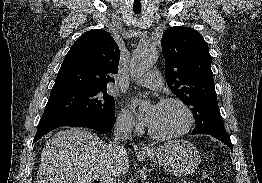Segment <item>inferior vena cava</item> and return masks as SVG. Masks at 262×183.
Returning <instances> with one entry per match:
<instances>
[{"instance_id":"inferior-vena-cava-1","label":"inferior vena cava","mask_w":262,"mask_h":183,"mask_svg":"<svg viewBox=\"0 0 262 183\" xmlns=\"http://www.w3.org/2000/svg\"><path fill=\"white\" fill-rule=\"evenodd\" d=\"M132 121L128 118H122L116 121L114 127V142L110 146L123 152L124 147L119 143L125 140H132Z\"/></svg>"}]
</instances>
